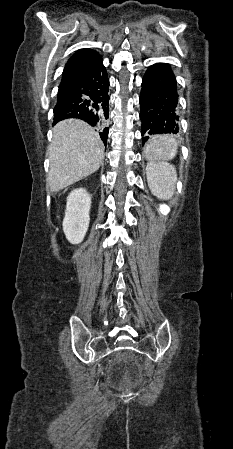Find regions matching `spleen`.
<instances>
[{"label": "spleen", "instance_id": "3e777b00", "mask_svg": "<svg viewBox=\"0 0 233 449\" xmlns=\"http://www.w3.org/2000/svg\"><path fill=\"white\" fill-rule=\"evenodd\" d=\"M168 151L159 150L162 158L151 161L146 168L148 186L153 195L162 200L170 199L175 191L177 179L175 168L166 162V158L172 157L177 149L175 140H170Z\"/></svg>", "mask_w": 233, "mask_h": 449}]
</instances>
